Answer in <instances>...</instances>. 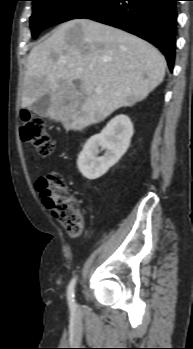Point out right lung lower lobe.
<instances>
[{"label":"right lung lower lobe","mask_w":193,"mask_h":349,"mask_svg":"<svg viewBox=\"0 0 193 349\" xmlns=\"http://www.w3.org/2000/svg\"><path fill=\"white\" fill-rule=\"evenodd\" d=\"M176 1L99 0L78 18L91 19L135 34L158 47L172 71L175 54Z\"/></svg>","instance_id":"1"}]
</instances>
